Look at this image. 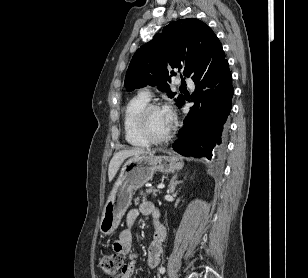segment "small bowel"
<instances>
[{
  "mask_svg": "<svg viewBox=\"0 0 308 278\" xmlns=\"http://www.w3.org/2000/svg\"><path fill=\"white\" fill-rule=\"evenodd\" d=\"M140 214L151 216L154 219L155 233L148 247L147 264L150 268H156L159 265L166 230L158 221L160 215L159 210L153 203L143 202L138 209H132L128 212L126 218L128 228L124 229L118 239L113 243V250L128 260L122 267L120 273L116 274L114 278H133L137 254L133 250V233L131 228Z\"/></svg>",
  "mask_w": 308,
  "mask_h": 278,
  "instance_id": "obj_1",
  "label": "small bowel"
}]
</instances>
